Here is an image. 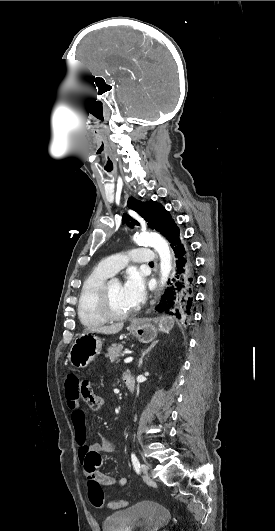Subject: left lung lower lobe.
Here are the masks:
<instances>
[{"mask_svg": "<svg viewBox=\"0 0 275 531\" xmlns=\"http://www.w3.org/2000/svg\"><path fill=\"white\" fill-rule=\"evenodd\" d=\"M166 239L170 242L175 256V277L171 282L168 281L169 287L155 310L187 320L191 314L194 296V258L176 224L170 227Z\"/></svg>", "mask_w": 275, "mask_h": 531, "instance_id": "0a47b994", "label": "left lung lower lobe"}]
</instances>
